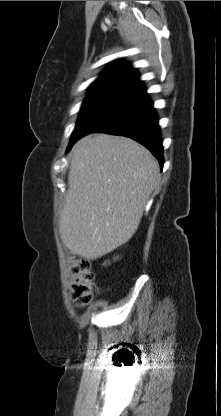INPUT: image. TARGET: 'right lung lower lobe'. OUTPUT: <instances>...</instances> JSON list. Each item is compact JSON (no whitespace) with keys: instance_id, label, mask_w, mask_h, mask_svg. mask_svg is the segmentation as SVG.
Segmentation results:
<instances>
[{"instance_id":"1","label":"right lung lower lobe","mask_w":221,"mask_h":416,"mask_svg":"<svg viewBox=\"0 0 221 416\" xmlns=\"http://www.w3.org/2000/svg\"><path fill=\"white\" fill-rule=\"evenodd\" d=\"M92 132L130 137L148 148L163 167L158 117L146 91L125 98ZM78 139L72 141L68 149Z\"/></svg>"}]
</instances>
